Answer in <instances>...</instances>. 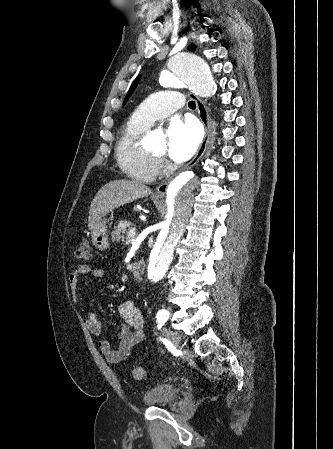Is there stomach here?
<instances>
[{
    "label": "stomach",
    "instance_id": "obj_1",
    "mask_svg": "<svg viewBox=\"0 0 333 449\" xmlns=\"http://www.w3.org/2000/svg\"><path fill=\"white\" fill-rule=\"evenodd\" d=\"M91 237L94 246L98 250L104 251L108 248V231L104 219H101L96 226L91 229Z\"/></svg>",
    "mask_w": 333,
    "mask_h": 449
}]
</instances>
